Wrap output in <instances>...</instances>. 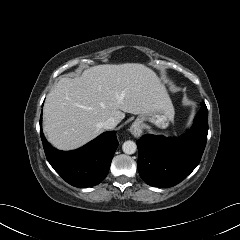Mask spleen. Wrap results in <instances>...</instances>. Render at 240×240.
Returning a JSON list of instances; mask_svg holds the SVG:
<instances>
[{"label": "spleen", "instance_id": "obj_1", "mask_svg": "<svg viewBox=\"0 0 240 240\" xmlns=\"http://www.w3.org/2000/svg\"><path fill=\"white\" fill-rule=\"evenodd\" d=\"M165 135L169 136L170 134H169V132H165Z\"/></svg>", "mask_w": 240, "mask_h": 240}]
</instances>
